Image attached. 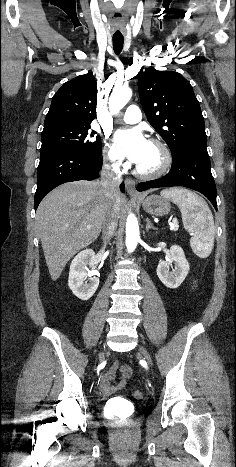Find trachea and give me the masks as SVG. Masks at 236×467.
Instances as JSON below:
<instances>
[{
    "mask_svg": "<svg viewBox=\"0 0 236 467\" xmlns=\"http://www.w3.org/2000/svg\"><path fill=\"white\" fill-rule=\"evenodd\" d=\"M124 39L121 37H113V49L116 54H119L123 48Z\"/></svg>",
    "mask_w": 236,
    "mask_h": 467,
    "instance_id": "1",
    "label": "trachea"
}]
</instances>
